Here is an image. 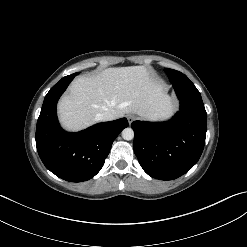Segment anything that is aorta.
<instances>
[{
	"mask_svg": "<svg viewBox=\"0 0 247 247\" xmlns=\"http://www.w3.org/2000/svg\"><path fill=\"white\" fill-rule=\"evenodd\" d=\"M122 137L124 140H132L134 138V131L132 128H125L122 131Z\"/></svg>",
	"mask_w": 247,
	"mask_h": 247,
	"instance_id": "1",
	"label": "aorta"
}]
</instances>
